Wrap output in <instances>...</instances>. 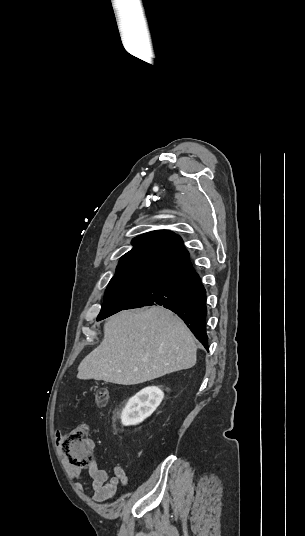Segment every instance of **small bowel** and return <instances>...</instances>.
<instances>
[{"label": "small bowel", "instance_id": "1", "mask_svg": "<svg viewBox=\"0 0 305 536\" xmlns=\"http://www.w3.org/2000/svg\"><path fill=\"white\" fill-rule=\"evenodd\" d=\"M53 439L56 440L57 447H61L62 439L61 434L58 431L53 432ZM90 448L93 447V442L88 441ZM66 470L68 474L76 479H81L83 472L82 467L74 465L70 462L69 458L65 457ZM88 476L91 479V486L93 491V498L97 502H105L112 499L119 485H126L128 483V477L119 465L114 467L113 474L109 475L105 470L100 469L96 460L91 458L87 464ZM79 489H82V482H77Z\"/></svg>", "mask_w": 305, "mask_h": 536}]
</instances>
